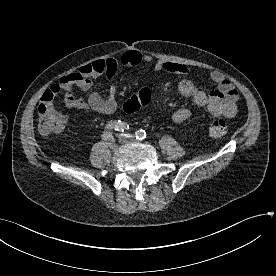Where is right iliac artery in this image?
Listing matches in <instances>:
<instances>
[{
    "mask_svg": "<svg viewBox=\"0 0 276 276\" xmlns=\"http://www.w3.org/2000/svg\"><path fill=\"white\" fill-rule=\"evenodd\" d=\"M128 129H129V125H127L126 123H124L120 120L111 121V123H109L106 126L105 131L103 132V139L106 142H109L113 139V136H112L113 130L124 132Z\"/></svg>",
    "mask_w": 276,
    "mask_h": 276,
    "instance_id": "obj_1",
    "label": "right iliac artery"
}]
</instances>
